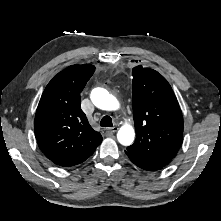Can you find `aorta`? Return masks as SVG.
I'll use <instances>...</instances> for the list:
<instances>
[{
    "label": "aorta",
    "instance_id": "762f6f07",
    "mask_svg": "<svg viewBox=\"0 0 221 221\" xmlns=\"http://www.w3.org/2000/svg\"><path fill=\"white\" fill-rule=\"evenodd\" d=\"M91 100L93 104L102 110L114 111L119 108L118 100L110 94L106 89L95 88L91 92ZM135 131L131 125H123L118 133L117 139L120 144L129 146L134 141Z\"/></svg>",
    "mask_w": 221,
    "mask_h": 221
}]
</instances>
